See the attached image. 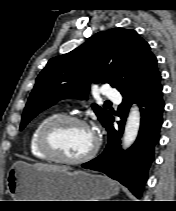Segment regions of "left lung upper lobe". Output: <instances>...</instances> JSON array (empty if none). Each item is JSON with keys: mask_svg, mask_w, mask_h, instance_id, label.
I'll return each instance as SVG.
<instances>
[{"mask_svg": "<svg viewBox=\"0 0 176 211\" xmlns=\"http://www.w3.org/2000/svg\"><path fill=\"white\" fill-rule=\"evenodd\" d=\"M159 74L156 57L136 31L114 28L98 32L80 47L48 62L36 79L20 130L58 100L87 99L91 82L109 83L125 95ZM92 108L106 126L112 114L96 104Z\"/></svg>", "mask_w": 176, "mask_h": 211, "instance_id": "obj_1", "label": "left lung upper lobe"}]
</instances>
